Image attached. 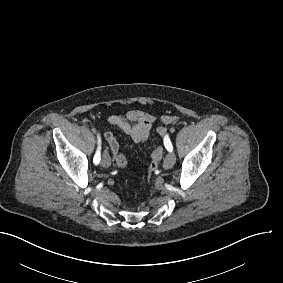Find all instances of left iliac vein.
<instances>
[{
  "mask_svg": "<svg viewBox=\"0 0 283 283\" xmlns=\"http://www.w3.org/2000/svg\"><path fill=\"white\" fill-rule=\"evenodd\" d=\"M175 162H176L175 154L173 152H169L164 159L163 166L164 168H172Z\"/></svg>",
  "mask_w": 283,
  "mask_h": 283,
  "instance_id": "obj_1",
  "label": "left iliac vein"
}]
</instances>
